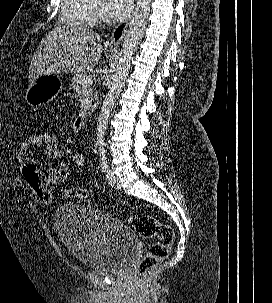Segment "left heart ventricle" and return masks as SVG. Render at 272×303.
I'll list each match as a JSON object with an SVG mask.
<instances>
[{"label":"left heart ventricle","instance_id":"left-heart-ventricle-1","mask_svg":"<svg viewBox=\"0 0 272 303\" xmlns=\"http://www.w3.org/2000/svg\"><path fill=\"white\" fill-rule=\"evenodd\" d=\"M95 4H96L98 7H101V6H102V2L97 1V0H96Z\"/></svg>","mask_w":272,"mask_h":303}]
</instances>
